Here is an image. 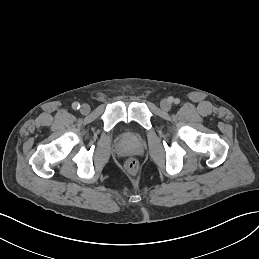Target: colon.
I'll return each mask as SVG.
<instances>
[{
  "mask_svg": "<svg viewBox=\"0 0 259 259\" xmlns=\"http://www.w3.org/2000/svg\"><path fill=\"white\" fill-rule=\"evenodd\" d=\"M138 166H139L138 161L134 158H129L125 162V168L130 173H135L138 169Z\"/></svg>",
  "mask_w": 259,
  "mask_h": 259,
  "instance_id": "5ec220e1",
  "label": "colon"
}]
</instances>
